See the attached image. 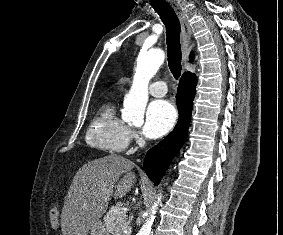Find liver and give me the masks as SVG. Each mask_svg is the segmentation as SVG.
Instances as JSON below:
<instances>
[{
    "mask_svg": "<svg viewBox=\"0 0 283 235\" xmlns=\"http://www.w3.org/2000/svg\"><path fill=\"white\" fill-rule=\"evenodd\" d=\"M133 168L131 160L116 154L84 164L74 176L65 199L62 234L87 235L106 212L111 197L122 198L131 190L136 182Z\"/></svg>",
    "mask_w": 283,
    "mask_h": 235,
    "instance_id": "obj_1",
    "label": "liver"
}]
</instances>
